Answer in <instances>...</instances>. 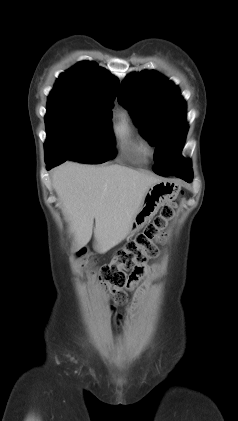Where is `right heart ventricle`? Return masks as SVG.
Listing matches in <instances>:
<instances>
[{"label": "right heart ventricle", "instance_id": "obj_1", "mask_svg": "<svg viewBox=\"0 0 238 421\" xmlns=\"http://www.w3.org/2000/svg\"><path fill=\"white\" fill-rule=\"evenodd\" d=\"M114 133L123 149L139 155L142 154L143 143L128 115H120L114 126Z\"/></svg>", "mask_w": 238, "mask_h": 421}]
</instances>
